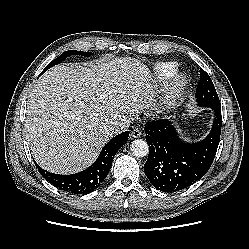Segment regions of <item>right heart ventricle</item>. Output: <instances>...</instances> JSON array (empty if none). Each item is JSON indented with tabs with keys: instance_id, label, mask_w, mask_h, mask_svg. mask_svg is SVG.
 Returning <instances> with one entry per match:
<instances>
[{
	"instance_id": "1",
	"label": "right heart ventricle",
	"mask_w": 249,
	"mask_h": 249,
	"mask_svg": "<svg viewBox=\"0 0 249 249\" xmlns=\"http://www.w3.org/2000/svg\"><path fill=\"white\" fill-rule=\"evenodd\" d=\"M177 64L174 62H162L155 66V73L161 80L170 78L177 71Z\"/></svg>"
}]
</instances>
